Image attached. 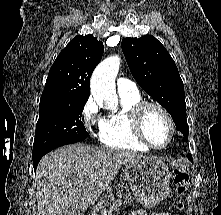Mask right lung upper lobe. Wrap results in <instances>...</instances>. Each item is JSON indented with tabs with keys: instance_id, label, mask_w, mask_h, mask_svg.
<instances>
[{
	"instance_id": "right-lung-upper-lobe-1",
	"label": "right lung upper lobe",
	"mask_w": 221,
	"mask_h": 215,
	"mask_svg": "<svg viewBox=\"0 0 221 215\" xmlns=\"http://www.w3.org/2000/svg\"><path fill=\"white\" fill-rule=\"evenodd\" d=\"M103 52V43L92 35L73 38L51 66L40 103L56 99H88L90 77Z\"/></svg>"
}]
</instances>
